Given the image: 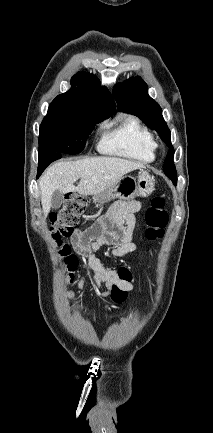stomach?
Wrapping results in <instances>:
<instances>
[{"label": "stomach", "instance_id": "1", "mask_svg": "<svg viewBox=\"0 0 213 433\" xmlns=\"http://www.w3.org/2000/svg\"><path fill=\"white\" fill-rule=\"evenodd\" d=\"M155 180L148 172H141L137 178L123 176L110 188L98 195H93V201L100 205L114 199L130 201L136 197H147L154 191Z\"/></svg>", "mask_w": 213, "mask_h": 433}]
</instances>
